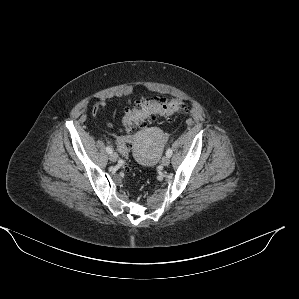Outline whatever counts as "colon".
<instances>
[{
    "mask_svg": "<svg viewBox=\"0 0 299 299\" xmlns=\"http://www.w3.org/2000/svg\"><path fill=\"white\" fill-rule=\"evenodd\" d=\"M98 107H95L97 110ZM189 109L188 105L179 99L168 98H151L141 99L137 102L136 107L128 112L124 118V124L129 131L137 127L144 126L156 117L161 116L169 119L174 114L185 113ZM122 156L126 157L130 152L129 144L120 145Z\"/></svg>",
    "mask_w": 299,
    "mask_h": 299,
    "instance_id": "obj_1",
    "label": "colon"
}]
</instances>
